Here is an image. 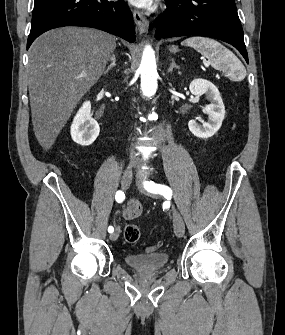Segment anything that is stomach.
<instances>
[{"label": "stomach", "mask_w": 285, "mask_h": 335, "mask_svg": "<svg viewBox=\"0 0 285 335\" xmlns=\"http://www.w3.org/2000/svg\"><path fill=\"white\" fill-rule=\"evenodd\" d=\"M170 52H178V48H176V46H171Z\"/></svg>", "instance_id": "1"}]
</instances>
